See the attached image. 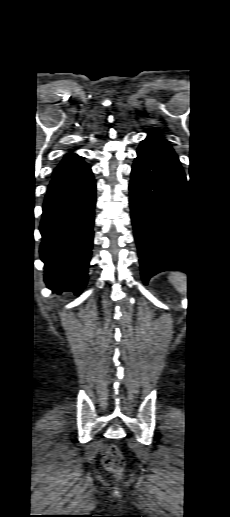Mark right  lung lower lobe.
Segmentation results:
<instances>
[{"label": "right lung lower lobe", "instance_id": "1", "mask_svg": "<svg viewBox=\"0 0 230 517\" xmlns=\"http://www.w3.org/2000/svg\"><path fill=\"white\" fill-rule=\"evenodd\" d=\"M96 184L90 166H80L52 178L40 225V256L44 280L57 293H81L93 243Z\"/></svg>", "mask_w": 230, "mask_h": 517}]
</instances>
